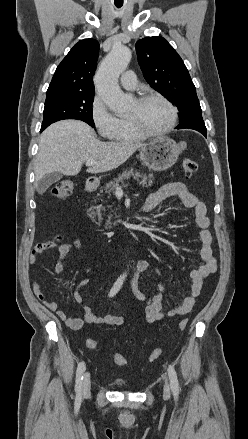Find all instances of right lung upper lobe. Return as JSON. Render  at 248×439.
<instances>
[{"instance_id":"right-lung-upper-lobe-1","label":"right lung upper lobe","mask_w":248,"mask_h":439,"mask_svg":"<svg viewBox=\"0 0 248 439\" xmlns=\"http://www.w3.org/2000/svg\"><path fill=\"white\" fill-rule=\"evenodd\" d=\"M99 43L80 40L58 65L47 90V96L69 92H94L92 78L96 69Z\"/></svg>"}]
</instances>
